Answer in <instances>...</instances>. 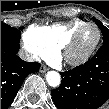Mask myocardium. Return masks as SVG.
I'll list each match as a JSON object with an SVG mask.
<instances>
[{
	"mask_svg": "<svg viewBox=\"0 0 109 109\" xmlns=\"http://www.w3.org/2000/svg\"><path fill=\"white\" fill-rule=\"evenodd\" d=\"M88 27H94L97 31V38L93 45L90 47V49L84 53L83 55L79 57H72L70 52L72 48L76 45L78 42V39L82 32L88 28ZM101 41V30L95 23H86L77 29L74 30V32L70 35V37L67 39V41L63 44V46L59 49V52L64 59V61L70 65V66H80L85 64L95 53L96 49L99 46V43Z\"/></svg>",
	"mask_w": 109,
	"mask_h": 109,
	"instance_id": "myocardium-1",
	"label": "myocardium"
}]
</instances>
